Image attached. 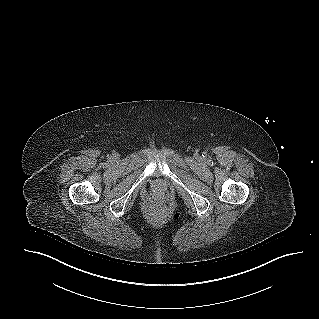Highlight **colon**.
<instances>
[{"mask_svg":"<svg viewBox=\"0 0 319 319\" xmlns=\"http://www.w3.org/2000/svg\"><path fill=\"white\" fill-rule=\"evenodd\" d=\"M155 209L158 211H165L166 210V205L164 203H156Z\"/></svg>","mask_w":319,"mask_h":319,"instance_id":"1","label":"colon"}]
</instances>
